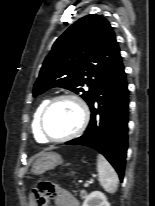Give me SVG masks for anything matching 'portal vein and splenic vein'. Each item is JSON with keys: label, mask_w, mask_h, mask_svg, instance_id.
<instances>
[{"label": "portal vein and splenic vein", "mask_w": 155, "mask_h": 206, "mask_svg": "<svg viewBox=\"0 0 155 206\" xmlns=\"http://www.w3.org/2000/svg\"><path fill=\"white\" fill-rule=\"evenodd\" d=\"M88 186H89V183H85V184H84V187H88Z\"/></svg>", "instance_id": "1"}]
</instances>
